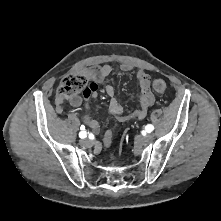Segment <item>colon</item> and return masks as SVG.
Segmentation results:
<instances>
[{"instance_id": "5ec220e1", "label": "colon", "mask_w": 221, "mask_h": 221, "mask_svg": "<svg viewBox=\"0 0 221 221\" xmlns=\"http://www.w3.org/2000/svg\"><path fill=\"white\" fill-rule=\"evenodd\" d=\"M88 81L84 75L71 74L62 81L58 94L64 99L66 97H74L86 87ZM153 88L158 93L165 92L167 84L163 79H155Z\"/></svg>"}]
</instances>
